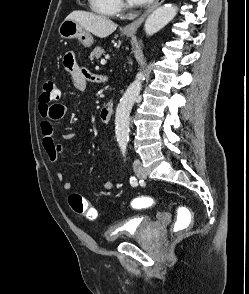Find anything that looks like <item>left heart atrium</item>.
<instances>
[{
    "instance_id": "39dd6f15",
    "label": "left heart atrium",
    "mask_w": 249,
    "mask_h": 294,
    "mask_svg": "<svg viewBox=\"0 0 249 294\" xmlns=\"http://www.w3.org/2000/svg\"><path fill=\"white\" fill-rule=\"evenodd\" d=\"M129 1L135 5H144L151 2L152 0H129Z\"/></svg>"
}]
</instances>
